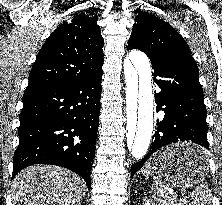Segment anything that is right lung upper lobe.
I'll list each match as a JSON object with an SVG mask.
<instances>
[{
    "mask_svg": "<svg viewBox=\"0 0 222 205\" xmlns=\"http://www.w3.org/2000/svg\"><path fill=\"white\" fill-rule=\"evenodd\" d=\"M97 20V15H77L61 24L39 51L26 90L77 82L101 71L104 40Z\"/></svg>",
    "mask_w": 222,
    "mask_h": 205,
    "instance_id": "1",
    "label": "right lung upper lobe"
}]
</instances>
